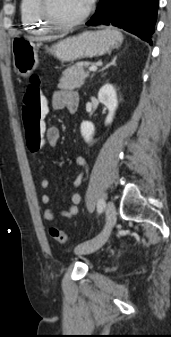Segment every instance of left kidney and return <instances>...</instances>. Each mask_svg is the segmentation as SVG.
Here are the masks:
<instances>
[{
	"label": "left kidney",
	"mask_w": 171,
	"mask_h": 337,
	"mask_svg": "<svg viewBox=\"0 0 171 337\" xmlns=\"http://www.w3.org/2000/svg\"><path fill=\"white\" fill-rule=\"evenodd\" d=\"M98 100L106 106L108 109V115L105 120V124H111L114 118L115 111L118 107L116 90L113 85L106 84L98 92ZM95 127L93 123L89 121H83L81 123V135L85 142L89 143L93 139Z\"/></svg>",
	"instance_id": "5707ae66"
}]
</instances>
